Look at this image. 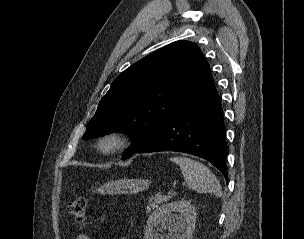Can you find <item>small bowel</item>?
<instances>
[{"label":"small bowel","instance_id":"small-bowel-1","mask_svg":"<svg viewBox=\"0 0 304 239\" xmlns=\"http://www.w3.org/2000/svg\"><path fill=\"white\" fill-rule=\"evenodd\" d=\"M76 239H90V237L85 233H81L76 236Z\"/></svg>","mask_w":304,"mask_h":239}]
</instances>
